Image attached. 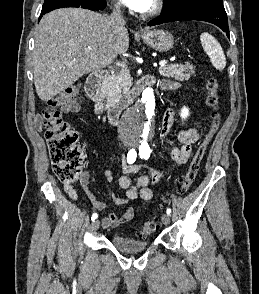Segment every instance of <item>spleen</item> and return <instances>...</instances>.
Listing matches in <instances>:
<instances>
[{
    "instance_id": "3e777b00",
    "label": "spleen",
    "mask_w": 259,
    "mask_h": 294,
    "mask_svg": "<svg viewBox=\"0 0 259 294\" xmlns=\"http://www.w3.org/2000/svg\"><path fill=\"white\" fill-rule=\"evenodd\" d=\"M200 41L204 51L210 57L212 65L222 71L226 67V57L220 43L209 33H202Z\"/></svg>"
}]
</instances>
